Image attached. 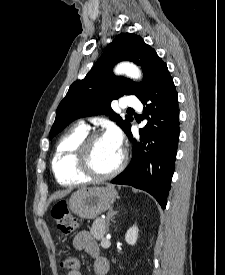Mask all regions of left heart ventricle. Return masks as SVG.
Listing matches in <instances>:
<instances>
[{
  "mask_svg": "<svg viewBox=\"0 0 225 275\" xmlns=\"http://www.w3.org/2000/svg\"><path fill=\"white\" fill-rule=\"evenodd\" d=\"M121 150L108 142L105 137L96 140L91 148L90 164L99 174L112 171L119 163Z\"/></svg>",
  "mask_w": 225,
  "mask_h": 275,
  "instance_id": "left-heart-ventricle-1",
  "label": "left heart ventricle"
}]
</instances>
